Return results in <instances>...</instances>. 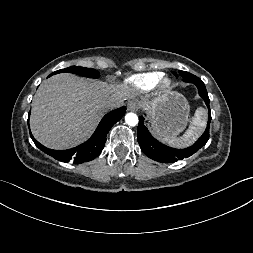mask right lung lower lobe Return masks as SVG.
<instances>
[{
	"label": "right lung lower lobe",
	"mask_w": 253,
	"mask_h": 253,
	"mask_svg": "<svg viewBox=\"0 0 253 253\" xmlns=\"http://www.w3.org/2000/svg\"><path fill=\"white\" fill-rule=\"evenodd\" d=\"M125 111L126 107L123 106L105 115L104 118L99 123L96 131L88 141L69 150L48 149L43 145H41L37 140H35L31 133L30 135L35 145L40 150H42L46 154L54 157L59 161L62 162L72 161L74 164L88 162L96 158L101 153V151L104 148L106 136L110 128L122 118V116L125 114Z\"/></svg>",
	"instance_id": "1"
}]
</instances>
